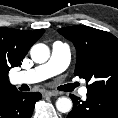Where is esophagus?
<instances>
[{"instance_id": "34e87169", "label": "esophagus", "mask_w": 118, "mask_h": 118, "mask_svg": "<svg viewBox=\"0 0 118 118\" xmlns=\"http://www.w3.org/2000/svg\"><path fill=\"white\" fill-rule=\"evenodd\" d=\"M44 95H45V96L52 97V96H58L59 93L56 92V91H45V92H44Z\"/></svg>"}]
</instances>
